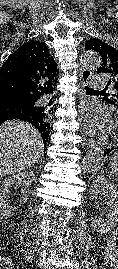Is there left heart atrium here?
Instances as JSON below:
<instances>
[{"instance_id": "obj_1", "label": "left heart atrium", "mask_w": 118, "mask_h": 269, "mask_svg": "<svg viewBox=\"0 0 118 269\" xmlns=\"http://www.w3.org/2000/svg\"><path fill=\"white\" fill-rule=\"evenodd\" d=\"M79 121L86 130L92 133H104L110 128L111 124L109 113L93 105L82 107L79 113Z\"/></svg>"}]
</instances>
